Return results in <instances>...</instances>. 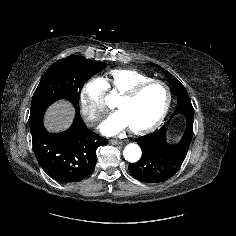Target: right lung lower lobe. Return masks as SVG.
<instances>
[{
  "label": "right lung lower lobe",
  "instance_id": "1",
  "mask_svg": "<svg viewBox=\"0 0 236 236\" xmlns=\"http://www.w3.org/2000/svg\"><path fill=\"white\" fill-rule=\"evenodd\" d=\"M44 112L30 115L33 151L43 170L62 183L77 182L93 171L96 149L106 145L107 139L91 132L76 113L69 130L49 133L43 125Z\"/></svg>",
  "mask_w": 236,
  "mask_h": 236
}]
</instances>
